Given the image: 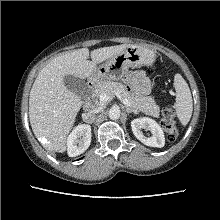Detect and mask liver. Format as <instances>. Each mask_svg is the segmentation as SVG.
Masks as SVG:
<instances>
[{
    "label": "liver",
    "instance_id": "1",
    "mask_svg": "<svg viewBox=\"0 0 220 220\" xmlns=\"http://www.w3.org/2000/svg\"><path fill=\"white\" fill-rule=\"evenodd\" d=\"M131 46L122 44L91 51L82 48L50 61L35 79L29 96V118L34 135L44 139V148L66 151L67 136L84 102L70 91L64 78L68 75L89 79L96 65Z\"/></svg>",
    "mask_w": 220,
    "mask_h": 220
}]
</instances>
